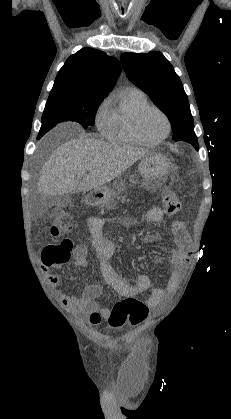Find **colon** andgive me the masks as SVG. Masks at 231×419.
Masks as SVG:
<instances>
[{
  "label": "colon",
  "mask_w": 231,
  "mask_h": 419,
  "mask_svg": "<svg viewBox=\"0 0 231 419\" xmlns=\"http://www.w3.org/2000/svg\"><path fill=\"white\" fill-rule=\"evenodd\" d=\"M164 212L167 217H174L181 210V201L173 193H166L163 199ZM72 220L69 214H61L50 226V234L57 237L63 232L72 229ZM73 244L69 239L47 245L42 251L44 265L52 266L66 263L71 256ZM165 280L172 278V273L166 269L163 273ZM148 312L143 302L134 298H125L114 304L108 316V323L113 329L122 328L127 322L136 326L145 320Z\"/></svg>",
  "instance_id": "1"
}]
</instances>
